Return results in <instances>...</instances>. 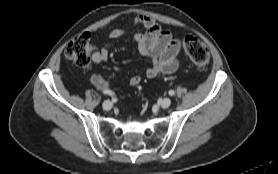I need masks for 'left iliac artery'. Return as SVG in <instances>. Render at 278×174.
<instances>
[{"label":"left iliac artery","mask_w":278,"mask_h":174,"mask_svg":"<svg viewBox=\"0 0 278 174\" xmlns=\"http://www.w3.org/2000/svg\"><path fill=\"white\" fill-rule=\"evenodd\" d=\"M168 93H169L170 96H173L175 94L174 90H169Z\"/></svg>","instance_id":"left-iliac-artery-1"}]
</instances>
